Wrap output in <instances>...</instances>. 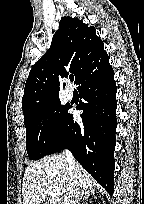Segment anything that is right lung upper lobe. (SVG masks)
I'll use <instances>...</instances> for the list:
<instances>
[{
    "label": "right lung upper lobe",
    "instance_id": "1",
    "mask_svg": "<svg viewBox=\"0 0 144 204\" xmlns=\"http://www.w3.org/2000/svg\"><path fill=\"white\" fill-rule=\"evenodd\" d=\"M109 59L102 40L94 27L83 21L62 17L46 54L32 67L25 83L22 98L24 117L58 99L59 79L68 73L75 75V83Z\"/></svg>",
    "mask_w": 144,
    "mask_h": 204
}]
</instances>
